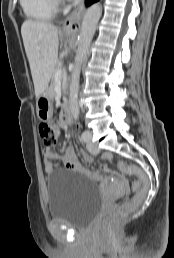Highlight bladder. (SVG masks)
Listing matches in <instances>:
<instances>
[{
    "mask_svg": "<svg viewBox=\"0 0 174 258\" xmlns=\"http://www.w3.org/2000/svg\"><path fill=\"white\" fill-rule=\"evenodd\" d=\"M47 188L48 213L52 219L73 227H87L101 211L100 188L80 171L53 170Z\"/></svg>",
    "mask_w": 174,
    "mask_h": 258,
    "instance_id": "obj_1",
    "label": "bladder"
}]
</instances>
